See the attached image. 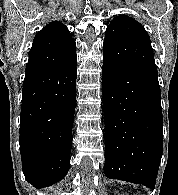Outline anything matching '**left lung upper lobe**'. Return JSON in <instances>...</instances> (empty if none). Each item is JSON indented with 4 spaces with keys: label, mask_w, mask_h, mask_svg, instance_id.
Here are the masks:
<instances>
[{
    "label": "left lung upper lobe",
    "mask_w": 178,
    "mask_h": 195,
    "mask_svg": "<svg viewBox=\"0 0 178 195\" xmlns=\"http://www.w3.org/2000/svg\"><path fill=\"white\" fill-rule=\"evenodd\" d=\"M103 50V56L158 77L150 37L133 18L122 15L111 21Z\"/></svg>",
    "instance_id": "5c2ea615"
}]
</instances>
